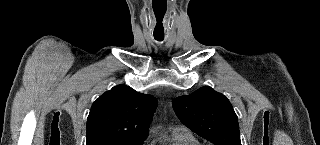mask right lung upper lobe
I'll return each mask as SVG.
<instances>
[{
  "mask_svg": "<svg viewBox=\"0 0 320 145\" xmlns=\"http://www.w3.org/2000/svg\"><path fill=\"white\" fill-rule=\"evenodd\" d=\"M157 99L117 85L92 105L87 119L86 145L102 141L135 142L148 136Z\"/></svg>",
  "mask_w": 320,
  "mask_h": 145,
  "instance_id": "obj_1",
  "label": "right lung upper lobe"
}]
</instances>
